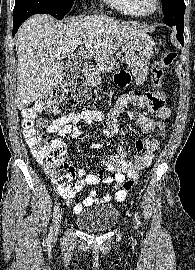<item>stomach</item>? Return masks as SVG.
<instances>
[{
    "instance_id": "1",
    "label": "stomach",
    "mask_w": 195,
    "mask_h": 270,
    "mask_svg": "<svg viewBox=\"0 0 195 270\" xmlns=\"http://www.w3.org/2000/svg\"><path fill=\"white\" fill-rule=\"evenodd\" d=\"M154 47V40L146 33L132 36L125 42L124 58L137 84L144 82L148 76L149 61L154 54ZM91 83L100 84V79L94 77Z\"/></svg>"
}]
</instances>
